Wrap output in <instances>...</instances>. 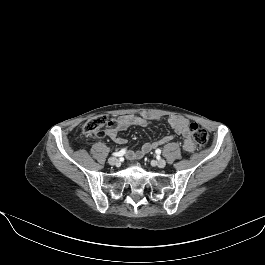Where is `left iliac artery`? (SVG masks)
<instances>
[{
	"label": "left iliac artery",
	"mask_w": 265,
	"mask_h": 265,
	"mask_svg": "<svg viewBox=\"0 0 265 265\" xmlns=\"http://www.w3.org/2000/svg\"><path fill=\"white\" fill-rule=\"evenodd\" d=\"M155 152H156L157 155L161 154V150L160 149H157Z\"/></svg>",
	"instance_id": "1"
}]
</instances>
